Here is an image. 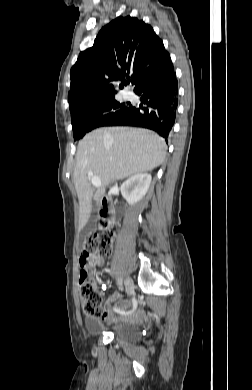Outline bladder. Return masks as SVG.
<instances>
[{
	"instance_id": "bladder-1",
	"label": "bladder",
	"mask_w": 252,
	"mask_h": 390,
	"mask_svg": "<svg viewBox=\"0 0 252 390\" xmlns=\"http://www.w3.org/2000/svg\"><path fill=\"white\" fill-rule=\"evenodd\" d=\"M86 329L91 335L111 333L117 339L126 343H136L141 338V333L137 324L114 323L110 327L96 320H89Z\"/></svg>"
}]
</instances>
